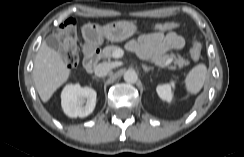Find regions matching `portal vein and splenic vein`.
I'll return each instance as SVG.
<instances>
[{
	"instance_id": "portal-vein-and-splenic-vein-1",
	"label": "portal vein and splenic vein",
	"mask_w": 244,
	"mask_h": 157,
	"mask_svg": "<svg viewBox=\"0 0 244 157\" xmlns=\"http://www.w3.org/2000/svg\"><path fill=\"white\" fill-rule=\"evenodd\" d=\"M124 55V50L122 49H117L113 52L112 57L113 58H122ZM170 62L166 63L168 65Z\"/></svg>"
}]
</instances>
